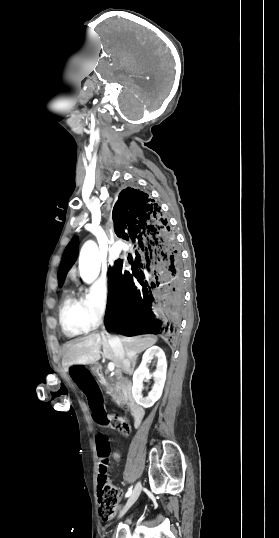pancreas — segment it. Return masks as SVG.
Here are the masks:
<instances>
[{
    "mask_svg": "<svg viewBox=\"0 0 279 538\" xmlns=\"http://www.w3.org/2000/svg\"><path fill=\"white\" fill-rule=\"evenodd\" d=\"M107 394H109V396H111V398H113V400H115V402H119L120 400V396L118 394V392H114V390H112V388H109Z\"/></svg>",
    "mask_w": 279,
    "mask_h": 538,
    "instance_id": "pancreas-1",
    "label": "pancreas"
}]
</instances>
